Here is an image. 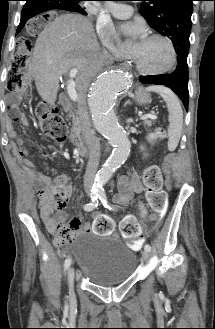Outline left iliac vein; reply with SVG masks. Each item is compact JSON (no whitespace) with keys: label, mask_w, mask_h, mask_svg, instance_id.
I'll return each mask as SVG.
<instances>
[{"label":"left iliac vein","mask_w":215,"mask_h":329,"mask_svg":"<svg viewBox=\"0 0 215 329\" xmlns=\"http://www.w3.org/2000/svg\"><path fill=\"white\" fill-rule=\"evenodd\" d=\"M142 258H143V260H144L145 262H147V261L149 260V251L144 250V251L142 252Z\"/></svg>","instance_id":"left-iliac-vein-1"}]
</instances>
